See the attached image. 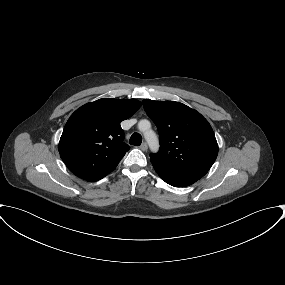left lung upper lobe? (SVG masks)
Instances as JSON below:
<instances>
[{"mask_svg": "<svg viewBox=\"0 0 285 285\" xmlns=\"http://www.w3.org/2000/svg\"><path fill=\"white\" fill-rule=\"evenodd\" d=\"M143 107L159 132L160 150L151 154V159L204 176L218 154L208 121L179 102L144 99Z\"/></svg>", "mask_w": 285, "mask_h": 285, "instance_id": "obj_1", "label": "left lung upper lobe"}]
</instances>
